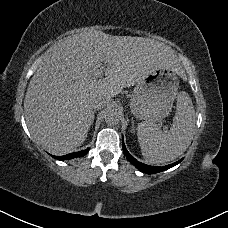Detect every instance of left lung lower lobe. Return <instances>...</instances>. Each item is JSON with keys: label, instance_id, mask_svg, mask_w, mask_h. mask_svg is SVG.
Instances as JSON below:
<instances>
[{"label": "left lung lower lobe", "instance_id": "1", "mask_svg": "<svg viewBox=\"0 0 228 228\" xmlns=\"http://www.w3.org/2000/svg\"><path fill=\"white\" fill-rule=\"evenodd\" d=\"M123 152H124V155L126 156V158L128 159V161L131 164L136 166V168L139 169L140 171H142L144 173H147V174H155V173L170 169V168L176 166L177 164H179L183 160V158H182L179 161H177V162H175L173 164H170V165H166V166H162V167H159V166L154 167V166H149L147 164H144L142 162L137 161L133 156H131L129 154V152L127 151V149L125 147L124 142H123Z\"/></svg>", "mask_w": 228, "mask_h": 228}]
</instances>
